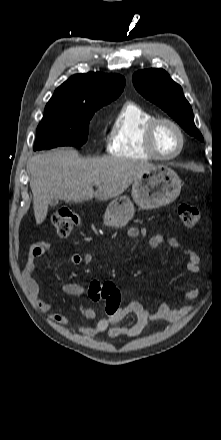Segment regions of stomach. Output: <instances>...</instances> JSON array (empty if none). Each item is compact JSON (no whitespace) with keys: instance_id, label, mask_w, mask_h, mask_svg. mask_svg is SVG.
I'll use <instances>...</instances> for the list:
<instances>
[{"instance_id":"obj_1","label":"stomach","mask_w":221,"mask_h":440,"mask_svg":"<svg viewBox=\"0 0 221 440\" xmlns=\"http://www.w3.org/2000/svg\"><path fill=\"white\" fill-rule=\"evenodd\" d=\"M182 181L175 171L165 165L152 167L138 177L133 185L131 196L141 208L152 209L174 201L181 192ZM134 215L132 201L120 196L112 200L104 215V224L121 228Z\"/></svg>"}]
</instances>
